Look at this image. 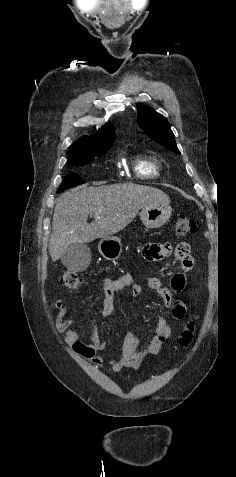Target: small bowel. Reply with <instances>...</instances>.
Wrapping results in <instances>:
<instances>
[{
    "label": "small bowel",
    "instance_id": "1",
    "mask_svg": "<svg viewBox=\"0 0 236 477\" xmlns=\"http://www.w3.org/2000/svg\"><path fill=\"white\" fill-rule=\"evenodd\" d=\"M181 249H186L187 253H180L179 250ZM172 250L173 247L170 243H150L144 246L143 256L149 261H160L169 257L172 254ZM175 255L181 263V272L172 277L171 289L157 277H148L145 285L157 293L164 306L170 308L172 317L175 320H183L187 315V306L181 299L174 298V294L180 295L183 292L186 286L185 274L193 268L194 258L190 255L189 244L185 242L177 245ZM102 284L104 297L101 315L103 317H108L115 311L114 298L116 293L132 289L134 296H137L142 289L141 285L134 280L131 274H123L117 278H104ZM55 307L58 309L56 329L65 334V342L74 352L90 359L96 366H100L103 363L100 353L107 345L99 338L95 320L91 318L94 325L91 340L84 342L78 332L71 328L74 318L69 315L64 301L62 299L56 300ZM171 335V325L165 318L160 317L149 346L139 356L135 357L133 353L139 345L141 338L132 332H127L122 342L119 356L109 359L112 372L117 373L131 366L139 367L146 359L157 356L164 342Z\"/></svg>",
    "mask_w": 236,
    "mask_h": 477
}]
</instances>
